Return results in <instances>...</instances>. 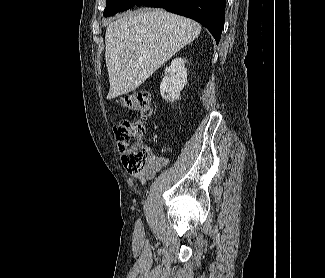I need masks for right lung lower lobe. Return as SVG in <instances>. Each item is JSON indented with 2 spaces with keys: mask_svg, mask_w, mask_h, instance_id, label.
Returning <instances> with one entry per match:
<instances>
[{
  "mask_svg": "<svg viewBox=\"0 0 325 278\" xmlns=\"http://www.w3.org/2000/svg\"><path fill=\"white\" fill-rule=\"evenodd\" d=\"M226 0H137L134 6L160 7L205 26L219 43L225 20ZM133 6V7H134Z\"/></svg>",
  "mask_w": 325,
  "mask_h": 278,
  "instance_id": "1",
  "label": "right lung lower lobe"
}]
</instances>
